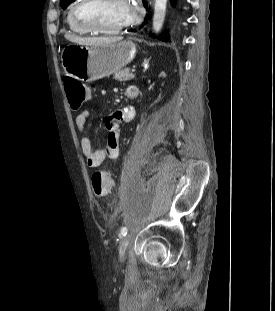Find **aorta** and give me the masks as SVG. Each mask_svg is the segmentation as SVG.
Listing matches in <instances>:
<instances>
[{"label":"aorta","mask_w":275,"mask_h":311,"mask_svg":"<svg viewBox=\"0 0 275 311\" xmlns=\"http://www.w3.org/2000/svg\"><path fill=\"white\" fill-rule=\"evenodd\" d=\"M167 0H155L154 16H153V29L157 33L161 30L165 14H166Z\"/></svg>","instance_id":"aorta-1"}]
</instances>
